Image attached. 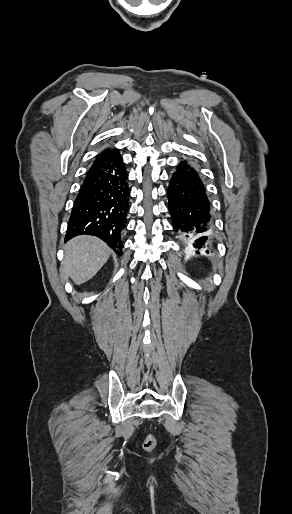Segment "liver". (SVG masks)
<instances>
[{"mask_svg":"<svg viewBox=\"0 0 292 514\" xmlns=\"http://www.w3.org/2000/svg\"><path fill=\"white\" fill-rule=\"evenodd\" d=\"M111 254L105 242L95 236H77L64 246L62 274L80 286L91 280Z\"/></svg>","mask_w":292,"mask_h":514,"instance_id":"obj_1","label":"liver"}]
</instances>
